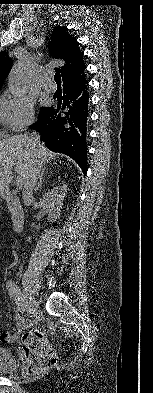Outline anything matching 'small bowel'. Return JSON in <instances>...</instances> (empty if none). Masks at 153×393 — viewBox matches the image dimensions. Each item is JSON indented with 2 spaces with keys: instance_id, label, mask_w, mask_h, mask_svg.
<instances>
[{
  "instance_id": "1",
  "label": "small bowel",
  "mask_w": 153,
  "mask_h": 393,
  "mask_svg": "<svg viewBox=\"0 0 153 393\" xmlns=\"http://www.w3.org/2000/svg\"><path fill=\"white\" fill-rule=\"evenodd\" d=\"M20 318V316H19ZM22 323H24V321H22ZM7 335H1V341H4V339H6Z\"/></svg>"
}]
</instances>
